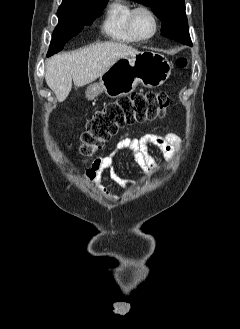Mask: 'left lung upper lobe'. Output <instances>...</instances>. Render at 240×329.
<instances>
[{
	"label": "left lung upper lobe",
	"instance_id": "5c2ea615",
	"mask_svg": "<svg viewBox=\"0 0 240 329\" xmlns=\"http://www.w3.org/2000/svg\"><path fill=\"white\" fill-rule=\"evenodd\" d=\"M151 7L162 20L161 35L177 42L192 45L184 0H135Z\"/></svg>",
	"mask_w": 240,
	"mask_h": 329
}]
</instances>
